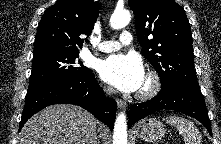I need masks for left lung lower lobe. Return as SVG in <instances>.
<instances>
[{
    "label": "left lung lower lobe",
    "mask_w": 221,
    "mask_h": 144,
    "mask_svg": "<svg viewBox=\"0 0 221 144\" xmlns=\"http://www.w3.org/2000/svg\"><path fill=\"white\" fill-rule=\"evenodd\" d=\"M160 110H174L187 114L204 124L211 135L210 120L200 88L172 84L161 88L158 95L147 102L133 105L128 113L131 127L140 119Z\"/></svg>",
    "instance_id": "obj_1"
}]
</instances>
